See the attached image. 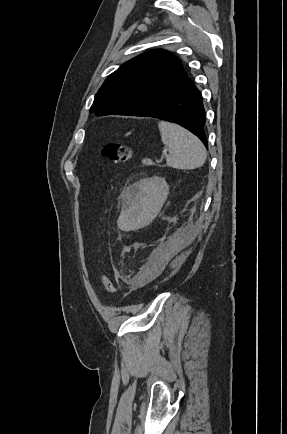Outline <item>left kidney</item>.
I'll return each mask as SVG.
<instances>
[{
	"instance_id": "1",
	"label": "left kidney",
	"mask_w": 287,
	"mask_h": 434,
	"mask_svg": "<svg viewBox=\"0 0 287 434\" xmlns=\"http://www.w3.org/2000/svg\"><path fill=\"white\" fill-rule=\"evenodd\" d=\"M169 186L164 178L151 177L137 181L124 195L127 213L137 224L149 222L167 199Z\"/></svg>"
}]
</instances>
